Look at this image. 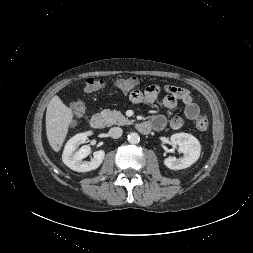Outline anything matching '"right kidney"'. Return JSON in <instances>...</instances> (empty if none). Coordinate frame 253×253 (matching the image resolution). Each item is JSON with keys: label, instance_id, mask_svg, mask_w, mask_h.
Wrapping results in <instances>:
<instances>
[{"label": "right kidney", "instance_id": "obj_1", "mask_svg": "<svg viewBox=\"0 0 253 253\" xmlns=\"http://www.w3.org/2000/svg\"><path fill=\"white\" fill-rule=\"evenodd\" d=\"M91 134V131L79 133L69 139V141L66 143L62 160L70 169L77 172H88L97 169L102 164L105 157V152L103 150L94 152V157L89 162H83L82 160L90 154V146L84 145L78 151H76L78 146L85 143L87 136Z\"/></svg>", "mask_w": 253, "mask_h": 253}]
</instances>
